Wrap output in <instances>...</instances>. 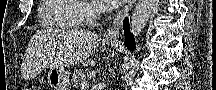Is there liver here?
Listing matches in <instances>:
<instances>
[{
    "label": "liver",
    "instance_id": "1",
    "mask_svg": "<svg viewBox=\"0 0 216 90\" xmlns=\"http://www.w3.org/2000/svg\"><path fill=\"white\" fill-rule=\"evenodd\" d=\"M64 44L66 48V66H75V64H83L84 60L89 58L93 50L97 48L101 38L88 30H80V28H72L67 30L64 36Z\"/></svg>",
    "mask_w": 216,
    "mask_h": 90
}]
</instances>
